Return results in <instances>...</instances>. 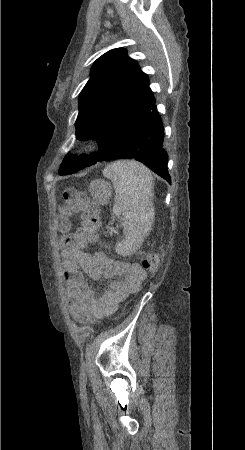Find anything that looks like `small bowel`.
<instances>
[{
    "label": "small bowel",
    "mask_w": 245,
    "mask_h": 450,
    "mask_svg": "<svg viewBox=\"0 0 245 450\" xmlns=\"http://www.w3.org/2000/svg\"><path fill=\"white\" fill-rule=\"evenodd\" d=\"M62 256L68 308L81 323H95L112 315L119 303L129 293L135 292L145 278V272L137 264L114 261L101 250L89 254L66 249ZM84 274L94 279H122L98 296L93 286L85 280Z\"/></svg>",
    "instance_id": "1"
}]
</instances>
